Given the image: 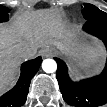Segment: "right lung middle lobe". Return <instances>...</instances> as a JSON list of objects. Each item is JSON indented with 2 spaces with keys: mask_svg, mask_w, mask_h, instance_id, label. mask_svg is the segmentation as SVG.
Masks as SVG:
<instances>
[{
  "mask_svg": "<svg viewBox=\"0 0 107 107\" xmlns=\"http://www.w3.org/2000/svg\"><path fill=\"white\" fill-rule=\"evenodd\" d=\"M8 12V8L0 6V22H5L8 20Z\"/></svg>",
  "mask_w": 107,
  "mask_h": 107,
  "instance_id": "obj_1",
  "label": "right lung middle lobe"
}]
</instances>
